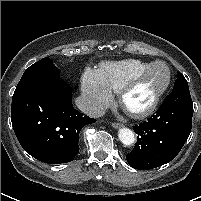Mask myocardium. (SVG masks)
Segmentation results:
<instances>
[{
	"mask_svg": "<svg viewBox=\"0 0 201 201\" xmlns=\"http://www.w3.org/2000/svg\"><path fill=\"white\" fill-rule=\"evenodd\" d=\"M156 65H163L167 69V80L163 87L151 98V100L144 106L132 109L128 107L126 99L128 94L133 90V88L148 74V72ZM172 81V72L169 65L164 61H155L152 62L142 71L138 72L132 78H130L120 89L119 93V102L124 111H126L130 116L134 118H145L152 114L158 107L161 99L167 92Z\"/></svg>",
	"mask_w": 201,
	"mask_h": 201,
	"instance_id": "1",
	"label": "myocardium"
}]
</instances>
